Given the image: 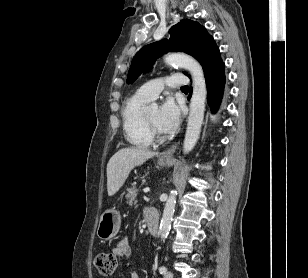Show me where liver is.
<instances>
[{"label":"liver","mask_w":308,"mask_h":278,"mask_svg":"<svg viewBox=\"0 0 308 278\" xmlns=\"http://www.w3.org/2000/svg\"><path fill=\"white\" fill-rule=\"evenodd\" d=\"M158 153L141 147L123 148L107 164V191L113 196L123 186L132 169L142 165Z\"/></svg>","instance_id":"1"}]
</instances>
